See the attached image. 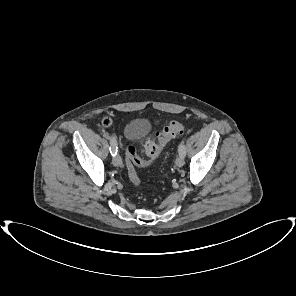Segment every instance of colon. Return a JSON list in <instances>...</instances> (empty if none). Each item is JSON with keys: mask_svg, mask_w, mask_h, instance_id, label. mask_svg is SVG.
Returning a JSON list of instances; mask_svg holds the SVG:
<instances>
[{"mask_svg": "<svg viewBox=\"0 0 296 296\" xmlns=\"http://www.w3.org/2000/svg\"><path fill=\"white\" fill-rule=\"evenodd\" d=\"M104 125L109 126L111 124L110 119L104 120ZM185 130V126L178 122L172 121L167 125L162 132L157 136L156 140H150L145 144V150L147 154V159H142L137 154L135 146L128 145L125 149L126 159H127V171L130 181L139 186L141 181L137 174L138 168H145L151 166L163 153L166 145L173 138L182 134Z\"/></svg>", "mask_w": 296, "mask_h": 296, "instance_id": "colon-1", "label": "colon"}]
</instances>
